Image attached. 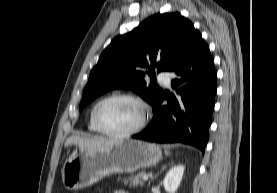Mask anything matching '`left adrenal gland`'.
<instances>
[{"label":"left adrenal gland","instance_id":"left-adrenal-gland-1","mask_svg":"<svg viewBox=\"0 0 277 193\" xmlns=\"http://www.w3.org/2000/svg\"><path fill=\"white\" fill-rule=\"evenodd\" d=\"M165 169H166V165H163L161 171H163V170H165ZM157 176H158V174L155 175V177H157ZM151 180H153V177L151 178ZM148 185H150V182H149Z\"/></svg>","mask_w":277,"mask_h":193}]
</instances>
